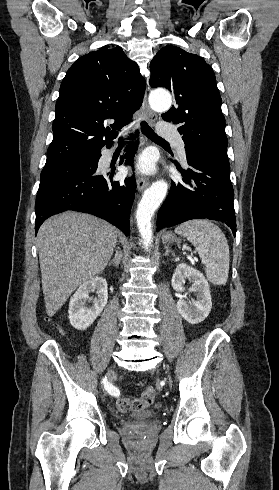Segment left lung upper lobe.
<instances>
[{
    "label": "left lung upper lobe",
    "instance_id": "5c2ea615",
    "mask_svg": "<svg viewBox=\"0 0 279 490\" xmlns=\"http://www.w3.org/2000/svg\"><path fill=\"white\" fill-rule=\"evenodd\" d=\"M150 70V86L166 87L175 95L176 106L162 117L181 125L178 131L186 152L202 149L228 159L225 118L213 69L198 55L166 46L153 58Z\"/></svg>",
    "mask_w": 279,
    "mask_h": 490
}]
</instances>
